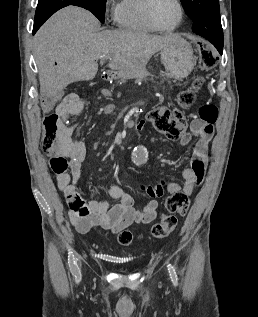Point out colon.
<instances>
[{
  "label": "colon",
  "instance_id": "obj_1",
  "mask_svg": "<svg viewBox=\"0 0 258 317\" xmlns=\"http://www.w3.org/2000/svg\"><path fill=\"white\" fill-rule=\"evenodd\" d=\"M217 62V57L209 48L200 50V65L203 70L212 69ZM202 81L198 79L193 88L183 91L179 95V104L187 107L193 104L195 90L200 87ZM52 100H47V106L52 105ZM199 118L209 124H213L218 117V108L213 104H205L199 108ZM154 129L170 139H180L185 132L186 122L184 115L178 109L157 107L147 115ZM65 132V124L62 114L57 110L46 115L44 119L43 148L48 153L57 154L60 150ZM188 195L183 192L170 194L164 205V212L159 222L153 225L152 234L156 238L167 237L176 227L177 218L175 214L184 216L189 208ZM132 233L123 231L118 236V241L123 246L131 244Z\"/></svg>",
  "mask_w": 258,
  "mask_h": 317
}]
</instances>
